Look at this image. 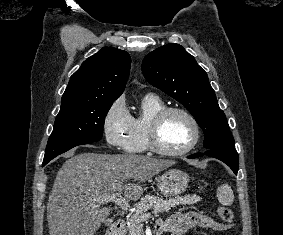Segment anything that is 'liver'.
Wrapping results in <instances>:
<instances>
[{"label": "liver", "mask_w": 283, "mask_h": 235, "mask_svg": "<svg viewBox=\"0 0 283 235\" xmlns=\"http://www.w3.org/2000/svg\"><path fill=\"white\" fill-rule=\"evenodd\" d=\"M73 155L59 169L49 195V235H94L111 211L98 199L119 192L135 201L143 193L142 182L176 163L137 154Z\"/></svg>", "instance_id": "obj_1"}]
</instances>
